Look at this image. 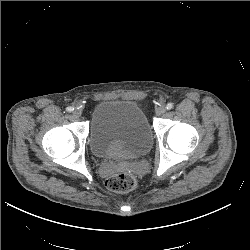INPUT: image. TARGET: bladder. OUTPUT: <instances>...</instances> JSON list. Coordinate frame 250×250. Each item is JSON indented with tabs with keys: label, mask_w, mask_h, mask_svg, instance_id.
Returning <instances> with one entry per match:
<instances>
[{
	"label": "bladder",
	"mask_w": 250,
	"mask_h": 250,
	"mask_svg": "<svg viewBox=\"0 0 250 250\" xmlns=\"http://www.w3.org/2000/svg\"><path fill=\"white\" fill-rule=\"evenodd\" d=\"M88 139L95 157L128 161L151 149L153 132L145 112L136 102L107 99L92 111Z\"/></svg>",
	"instance_id": "31cf9c89"
}]
</instances>
